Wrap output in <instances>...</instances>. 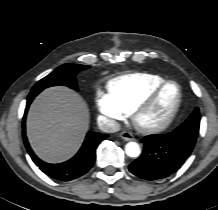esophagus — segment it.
I'll return each mask as SVG.
<instances>
[{
	"mask_svg": "<svg viewBox=\"0 0 218 210\" xmlns=\"http://www.w3.org/2000/svg\"><path fill=\"white\" fill-rule=\"evenodd\" d=\"M119 136H120L121 139H123V140H125V141L134 140L133 135H132L131 133H129V132H126V131L121 132V133L119 134Z\"/></svg>",
	"mask_w": 218,
	"mask_h": 210,
	"instance_id": "esophagus-1",
	"label": "esophagus"
}]
</instances>
